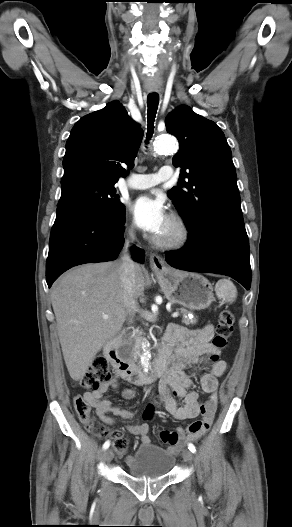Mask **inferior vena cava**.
Wrapping results in <instances>:
<instances>
[{
    "label": "inferior vena cava",
    "instance_id": "obj_1",
    "mask_svg": "<svg viewBox=\"0 0 292 527\" xmlns=\"http://www.w3.org/2000/svg\"><path fill=\"white\" fill-rule=\"evenodd\" d=\"M133 232L129 233V236L125 242V246L120 257L121 262V281L124 291V304L127 311V320L129 324L134 322L135 313L139 307L135 292V270L136 265L131 258L129 247L130 243L134 242Z\"/></svg>",
    "mask_w": 292,
    "mask_h": 527
}]
</instances>
